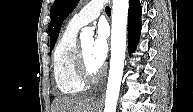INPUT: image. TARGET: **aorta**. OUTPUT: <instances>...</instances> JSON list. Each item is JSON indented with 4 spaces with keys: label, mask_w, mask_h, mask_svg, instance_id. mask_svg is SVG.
Instances as JSON below:
<instances>
[{
    "label": "aorta",
    "mask_w": 193,
    "mask_h": 112,
    "mask_svg": "<svg viewBox=\"0 0 193 112\" xmlns=\"http://www.w3.org/2000/svg\"><path fill=\"white\" fill-rule=\"evenodd\" d=\"M128 8V0H113L111 60L104 112H116L125 60ZM92 36V29H82L81 39Z\"/></svg>",
    "instance_id": "aorta-1"
}]
</instances>
